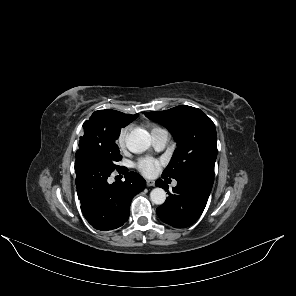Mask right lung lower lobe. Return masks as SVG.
Returning a JSON list of instances; mask_svg holds the SVG:
<instances>
[{
  "instance_id": "98d812e1",
  "label": "right lung lower lobe",
  "mask_w": 296,
  "mask_h": 296,
  "mask_svg": "<svg viewBox=\"0 0 296 296\" xmlns=\"http://www.w3.org/2000/svg\"><path fill=\"white\" fill-rule=\"evenodd\" d=\"M125 181L109 184L108 170L96 156L77 151L75 160L76 189L86 220L96 229L108 231L122 226L128 219L132 198L144 190L146 181L125 167L117 170Z\"/></svg>"
}]
</instances>
